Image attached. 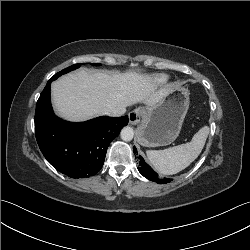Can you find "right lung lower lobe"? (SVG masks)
<instances>
[{
  "label": "right lung lower lobe",
  "instance_id": "98d812e1",
  "mask_svg": "<svg viewBox=\"0 0 250 250\" xmlns=\"http://www.w3.org/2000/svg\"><path fill=\"white\" fill-rule=\"evenodd\" d=\"M47 82L36 106L35 134L41 152L59 172L71 178L95 175L103 166L109 143L128 124V116H101L71 123L56 117L50 103Z\"/></svg>",
  "mask_w": 250,
  "mask_h": 250
}]
</instances>
